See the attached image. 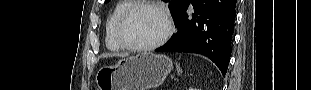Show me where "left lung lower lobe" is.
Returning a JSON list of instances; mask_svg holds the SVG:
<instances>
[{
	"mask_svg": "<svg viewBox=\"0 0 311 90\" xmlns=\"http://www.w3.org/2000/svg\"><path fill=\"white\" fill-rule=\"evenodd\" d=\"M192 4L194 13H187ZM236 0H192L177 18L178 32L157 52H188L208 57L225 76L231 56Z\"/></svg>",
	"mask_w": 311,
	"mask_h": 90,
	"instance_id": "1",
	"label": "left lung lower lobe"
}]
</instances>
